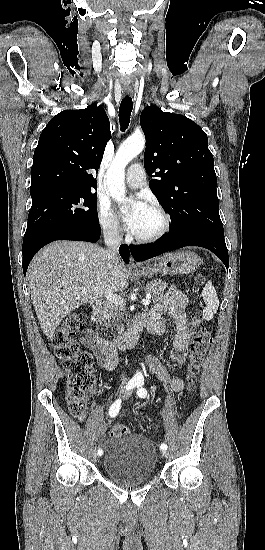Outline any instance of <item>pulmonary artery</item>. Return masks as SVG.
<instances>
[{"mask_svg":"<svg viewBox=\"0 0 265 550\" xmlns=\"http://www.w3.org/2000/svg\"><path fill=\"white\" fill-rule=\"evenodd\" d=\"M145 170L141 164H132L126 173V183L132 189L141 188L145 184Z\"/></svg>","mask_w":265,"mask_h":550,"instance_id":"1","label":"pulmonary artery"}]
</instances>
